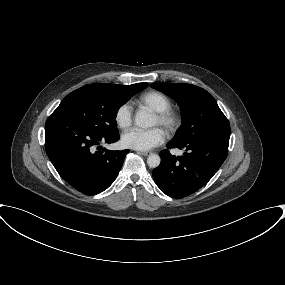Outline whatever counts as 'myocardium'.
Returning a JSON list of instances; mask_svg holds the SVG:
<instances>
[{
    "instance_id": "myocardium-1",
    "label": "myocardium",
    "mask_w": 285,
    "mask_h": 285,
    "mask_svg": "<svg viewBox=\"0 0 285 285\" xmlns=\"http://www.w3.org/2000/svg\"><path fill=\"white\" fill-rule=\"evenodd\" d=\"M155 116L159 121V125L169 134L175 133L181 125L180 114L171 108L156 112Z\"/></svg>"
}]
</instances>
